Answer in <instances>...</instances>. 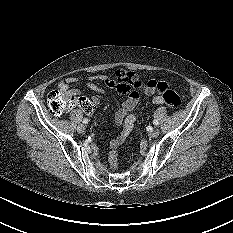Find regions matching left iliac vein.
Returning a JSON list of instances; mask_svg holds the SVG:
<instances>
[{
  "label": "left iliac vein",
  "mask_w": 233,
  "mask_h": 233,
  "mask_svg": "<svg viewBox=\"0 0 233 233\" xmlns=\"http://www.w3.org/2000/svg\"><path fill=\"white\" fill-rule=\"evenodd\" d=\"M158 135H159V129L158 128H154L153 130H151L149 132V137L150 138H156V137H158Z\"/></svg>",
  "instance_id": "obj_1"
}]
</instances>
